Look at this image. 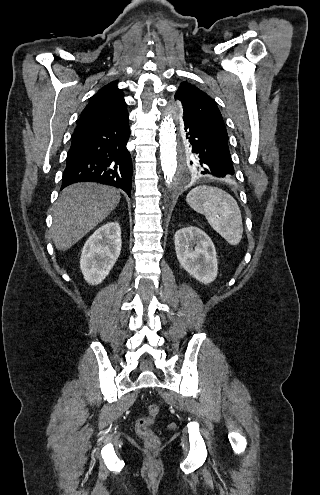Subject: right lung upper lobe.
<instances>
[{
	"mask_svg": "<svg viewBox=\"0 0 320 495\" xmlns=\"http://www.w3.org/2000/svg\"><path fill=\"white\" fill-rule=\"evenodd\" d=\"M129 121L124 94L117 81L103 86L82 111L74 134Z\"/></svg>",
	"mask_w": 320,
	"mask_h": 495,
	"instance_id": "obj_1",
	"label": "right lung upper lobe"
}]
</instances>
